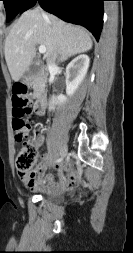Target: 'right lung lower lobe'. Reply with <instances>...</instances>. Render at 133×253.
I'll return each instance as SVG.
<instances>
[{
    "label": "right lung lower lobe",
    "instance_id": "1",
    "mask_svg": "<svg viewBox=\"0 0 133 253\" xmlns=\"http://www.w3.org/2000/svg\"><path fill=\"white\" fill-rule=\"evenodd\" d=\"M104 0H26L19 13L39 2L49 13L74 24L86 27L98 41L103 25Z\"/></svg>",
    "mask_w": 133,
    "mask_h": 253
}]
</instances>
